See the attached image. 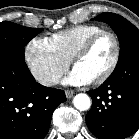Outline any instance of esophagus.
I'll list each match as a JSON object with an SVG mask.
<instances>
[{"instance_id":"esophagus-1","label":"esophagus","mask_w":139,"mask_h":139,"mask_svg":"<svg viewBox=\"0 0 139 139\" xmlns=\"http://www.w3.org/2000/svg\"><path fill=\"white\" fill-rule=\"evenodd\" d=\"M65 95L68 99H70L74 95V91L72 90H66Z\"/></svg>"}]
</instances>
